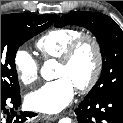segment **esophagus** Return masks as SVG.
Returning a JSON list of instances; mask_svg holds the SVG:
<instances>
[{
    "instance_id": "1",
    "label": "esophagus",
    "mask_w": 123,
    "mask_h": 123,
    "mask_svg": "<svg viewBox=\"0 0 123 123\" xmlns=\"http://www.w3.org/2000/svg\"><path fill=\"white\" fill-rule=\"evenodd\" d=\"M42 117L45 120H48V121H55L58 118V115H47V114H43Z\"/></svg>"
}]
</instances>
